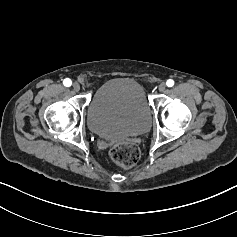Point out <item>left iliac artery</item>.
<instances>
[{"mask_svg": "<svg viewBox=\"0 0 237 237\" xmlns=\"http://www.w3.org/2000/svg\"><path fill=\"white\" fill-rule=\"evenodd\" d=\"M166 85L168 87H172L174 85V81L172 79L167 80Z\"/></svg>", "mask_w": 237, "mask_h": 237, "instance_id": "obj_1", "label": "left iliac artery"}]
</instances>
